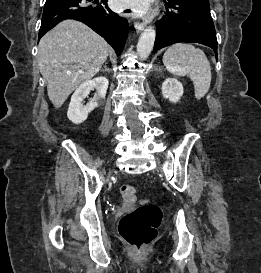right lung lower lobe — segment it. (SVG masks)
<instances>
[{"label": "right lung lower lobe", "instance_id": "1", "mask_svg": "<svg viewBox=\"0 0 261 273\" xmlns=\"http://www.w3.org/2000/svg\"><path fill=\"white\" fill-rule=\"evenodd\" d=\"M81 21L101 35L120 55L128 32V21L112 12L107 0H46L38 40L59 21Z\"/></svg>", "mask_w": 261, "mask_h": 273}]
</instances>
